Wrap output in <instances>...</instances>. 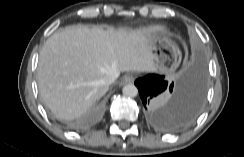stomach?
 Returning a JSON list of instances; mask_svg holds the SVG:
<instances>
[{
  "label": "stomach",
  "mask_w": 244,
  "mask_h": 157,
  "mask_svg": "<svg viewBox=\"0 0 244 157\" xmlns=\"http://www.w3.org/2000/svg\"><path fill=\"white\" fill-rule=\"evenodd\" d=\"M148 45L155 70L166 76L172 75L181 62V51L174 41L166 37L153 36Z\"/></svg>",
  "instance_id": "obj_1"
}]
</instances>
